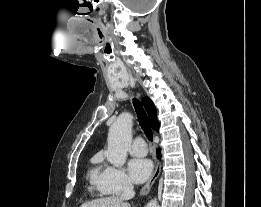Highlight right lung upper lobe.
I'll list each match as a JSON object with an SVG mask.
<instances>
[{"mask_svg":"<svg viewBox=\"0 0 261 207\" xmlns=\"http://www.w3.org/2000/svg\"><path fill=\"white\" fill-rule=\"evenodd\" d=\"M142 103L148 111L152 128L157 130L159 128V122L156 119L157 111L155 105L148 97L143 98Z\"/></svg>","mask_w":261,"mask_h":207,"instance_id":"obj_1","label":"right lung upper lobe"}]
</instances>
